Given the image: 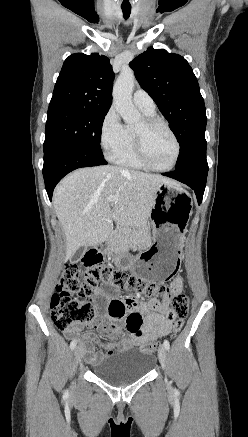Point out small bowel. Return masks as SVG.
Segmentation results:
<instances>
[{
  "instance_id": "1",
  "label": "small bowel",
  "mask_w": 248,
  "mask_h": 437,
  "mask_svg": "<svg viewBox=\"0 0 248 437\" xmlns=\"http://www.w3.org/2000/svg\"><path fill=\"white\" fill-rule=\"evenodd\" d=\"M175 291H182L183 281L176 278L171 285ZM94 300L107 310L97 315L92 326L106 335L108 342L102 345L100 352L93 349L98 341L96 336H86L83 348L86 361L95 366L105 354L111 355L120 348H132L146 342L155 341L170 333L172 320L169 317V304L166 296L162 300H151L144 308L140 307L136 296L125 297L116 291L114 285H97L94 288ZM145 311V315H143ZM125 322L128 331L121 335L117 323ZM82 330V326L73 325L64 330L67 339L73 338Z\"/></svg>"
}]
</instances>
